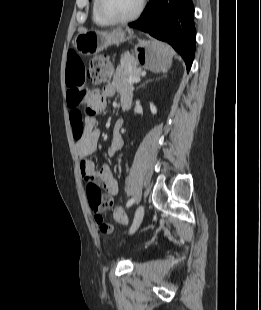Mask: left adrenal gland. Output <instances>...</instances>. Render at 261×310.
Listing matches in <instances>:
<instances>
[{
	"mask_svg": "<svg viewBox=\"0 0 261 310\" xmlns=\"http://www.w3.org/2000/svg\"><path fill=\"white\" fill-rule=\"evenodd\" d=\"M151 80L149 81H146L145 83H143L142 85H140L137 89H139L140 87H143L145 84H147L148 82H150Z\"/></svg>",
	"mask_w": 261,
	"mask_h": 310,
	"instance_id": "a2214340",
	"label": "left adrenal gland"
}]
</instances>
